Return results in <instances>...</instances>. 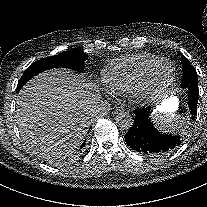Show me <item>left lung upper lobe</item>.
Returning <instances> with one entry per match:
<instances>
[{
    "label": "left lung upper lobe",
    "mask_w": 207,
    "mask_h": 207,
    "mask_svg": "<svg viewBox=\"0 0 207 207\" xmlns=\"http://www.w3.org/2000/svg\"><path fill=\"white\" fill-rule=\"evenodd\" d=\"M181 59L183 63L181 87L188 88V90H190L192 86L198 87V77L194 67L183 54H181Z\"/></svg>",
    "instance_id": "1"
}]
</instances>
